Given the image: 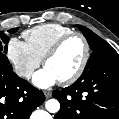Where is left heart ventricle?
I'll list each match as a JSON object with an SVG mask.
<instances>
[{"label":"left heart ventricle","mask_w":119,"mask_h":119,"mask_svg":"<svg viewBox=\"0 0 119 119\" xmlns=\"http://www.w3.org/2000/svg\"><path fill=\"white\" fill-rule=\"evenodd\" d=\"M84 44L78 37L72 38L61 48L59 53L50 59L45 67L48 68L59 80L73 74L82 62Z\"/></svg>","instance_id":"b2bd125f"}]
</instances>
